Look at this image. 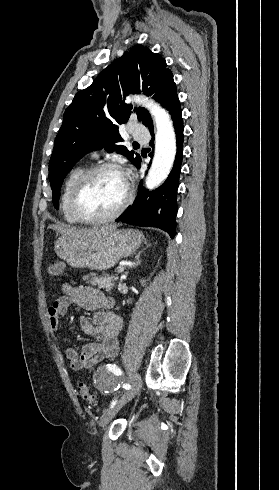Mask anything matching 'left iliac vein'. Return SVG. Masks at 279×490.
<instances>
[{
    "mask_svg": "<svg viewBox=\"0 0 279 490\" xmlns=\"http://www.w3.org/2000/svg\"><path fill=\"white\" fill-rule=\"evenodd\" d=\"M128 381L131 382L130 390L126 391L122 394L120 400L117 405L113 409L107 410L100 419V425L102 427L106 426L108 422H110L116 414L126 405L130 400H132L139 392L141 386V376L138 373H133Z\"/></svg>",
    "mask_w": 279,
    "mask_h": 490,
    "instance_id": "1",
    "label": "left iliac vein"
}]
</instances>
